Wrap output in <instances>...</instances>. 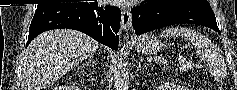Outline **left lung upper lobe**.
I'll use <instances>...</instances> for the list:
<instances>
[{"label": "left lung upper lobe", "instance_id": "1", "mask_svg": "<svg viewBox=\"0 0 237 90\" xmlns=\"http://www.w3.org/2000/svg\"><path fill=\"white\" fill-rule=\"evenodd\" d=\"M171 2H181L190 6L200 8H211L206 0H169Z\"/></svg>", "mask_w": 237, "mask_h": 90}]
</instances>
